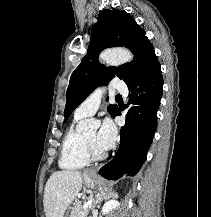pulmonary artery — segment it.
Wrapping results in <instances>:
<instances>
[{
    "instance_id": "1",
    "label": "pulmonary artery",
    "mask_w": 211,
    "mask_h": 217,
    "mask_svg": "<svg viewBox=\"0 0 211 217\" xmlns=\"http://www.w3.org/2000/svg\"><path fill=\"white\" fill-rule=\"evenodd\" d=\"M109 90L116 91L122 94H126L128 89L126 84L120 80H114ZM107 88L100 86L96 88L75 110V116L78 117H88L93 115L99 108L101 99L106 93Z\"/></svg>"
}]
</instances>
